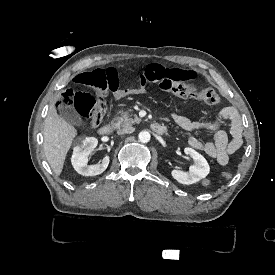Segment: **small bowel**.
I'll return each mask as SVG.
<instances>
[{"label":"small bowel","instance_id":"1","mask_svg":"<svg viewBox=\"0 0 275 275\" xmlns=\"http://www.w3.org/2000/svg\"><path fill=\"white\" fill-rule=\"evenodd\" d=\"M105 78L110 89L109 94L112 97L125 95L126 90L122 87V81L118 71L115 68H108L105 71ZM162 76L160 65L153 64L141 73L140 85H130L127 88L130 94H141L148 91L149 82L158 80ZM163 77L167 81H189L193 77V72L189 68H167L163 72ZM173 121L183 130L188 132L210 131L213 132V141L204 142L199 138L190 135L188 137L189 145L214 159L219 165L225 166L229 163L230 156L234 154L242 145V123L238 110L233 106H226L210 121H192L186 116L174 112ZM229 123L230 138L222 127Z\"/></svg>","mask_w":275,"mask_h":275}]
</instances>
